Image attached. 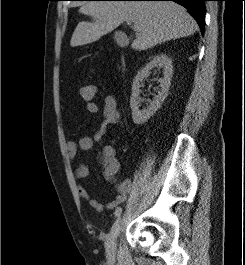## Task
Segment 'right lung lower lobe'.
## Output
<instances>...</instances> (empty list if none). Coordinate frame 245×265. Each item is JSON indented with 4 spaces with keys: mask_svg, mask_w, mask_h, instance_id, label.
I'll use <instances>...</instances> for the list:
<instances>
[{
    "mask_svg": "<svg viewBox=\"0 0 245 265\" xmlns=\"http://www.w3.org/2000/svg\"><path fill=\"white\" fill-rule=\"evenodd\" d=\"M122 1H174L184 6L197 21L201 33L204 34L205 26V4L206 0H122Z\"/></svg>",
    "mask_w": 245,
    "mask_h": 265,
    "instance_id": "obj_1",
    "label": "right lung lower lobe"
}]
</instances>
